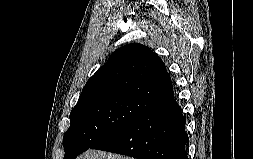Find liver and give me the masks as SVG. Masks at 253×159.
<instances>
[{"mask_svg":"<svg viewBox=\"0 0 253 159\" xmlns=\"http://www.w3.org/2000/svg\"><path fill=\"white\" fill-rule=\"evenodd\" d=\"M76 159H133L127 156H121L118 154H111L99 150H87Z\"/></svg>","mask_w":253,"mask_h":159,"instance_id":"6515ba94","label":"liver"}]
</instances>
